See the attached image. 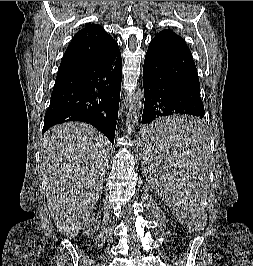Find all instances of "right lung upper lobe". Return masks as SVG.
Listing matches in <instances>:
<instances>
[{
	"mask_svg": "<svg viewBox=\"0 0 253 266\" xmlns=\"http://www.w3.org/2000/svg\"><path fill=\"white\" fill-rule=\"evenodd\" d=\"M119 50L117 42L100 25L89 24L77 32L60 64L57 78L105 60Z\"/></svg>",
	"mask_w": 253,
	"mask_h": 266,
	"instance_id": "1",
	"label": "right lung upper lobe"
}]
</instances>
